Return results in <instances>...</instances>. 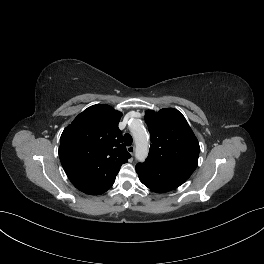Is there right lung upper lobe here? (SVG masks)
<instances>
[{
	"mask_svg": "<svg viewBox=\"0 0 264 264\" xmlns=\"http://www.w3.org/2000/svg\"><path fill=\"white\" fill-rule=\"evenodd\" d=\"M122 113L109 105H93L64 129L59 157L65 173L80 191L100 195L111 188L130 154L118 128Z\"/></svg>",
	"mask_w": 264,
	"mask_h": 264,
	"instance_id": "obj_1",
	"label": "right lung upper lobe"
}]
</instances>
